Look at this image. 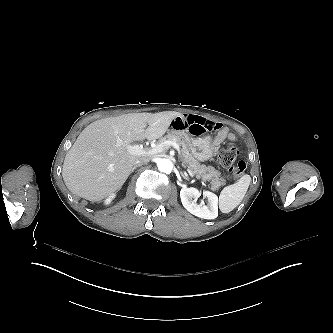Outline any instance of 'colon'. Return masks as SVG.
<instances>
[{
    "mask_svg": "<svg viewBox=\"0 0 333 333\" xmlns=\"http://www.w3.org/2000/svg\"><path fill=\"white\" fill-rule=\"evenodd\" d=\"M238 154L239 147L236 144H230L219 152L217 162L227 173L241 175L246 169V162L242 160L236 162Z\"/></svg>",
    "mask_w": 333,
    "mask_h": 333,
    "instance_id": "5ec220e1",
    "label": "colon"
}]
</instances>
